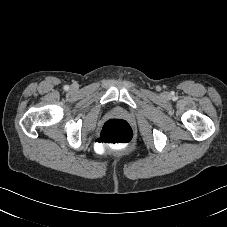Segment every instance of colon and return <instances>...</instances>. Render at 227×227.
I'll use <instances>...</instances> for the list:
<instances>
[{
    "instance_id": "1",
    "label": "colon",
    "mask_w": 227,
    "mask_h": 227,
    "mask_svg": "<svg viewBox=\"0 0 227 227\" xmlns=\"http://www.w3.org/2000/svg\"><path fill=\"white\" fill-rule=\"evenodd\" d=\"M98 137L104 143H129L133 138V132L127 122L112 119L105 122Z\"/></svg>"
}]
</instances>
